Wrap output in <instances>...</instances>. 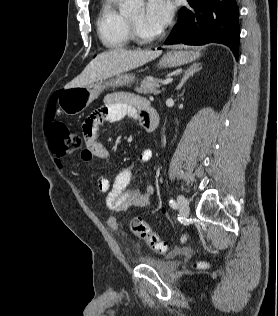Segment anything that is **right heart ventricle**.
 Wrapping results in <instances>:
<instances>
[{"label":"right heart ventricle","mask_w":278,"mask_h":316,"mask_svg":"<svg viewBox=\"0 0 278 316\" xmlns=\"http://www.w3.org/2000/svg\"><path fill=\"white\" fill-rule=\"evenodd\" d=\"M122 0H102L97 16V31L102 44L109 49H122L131 42L127 17L119 6Z\"/></svg>","instance_id":"obj_1"}]
</instances>
